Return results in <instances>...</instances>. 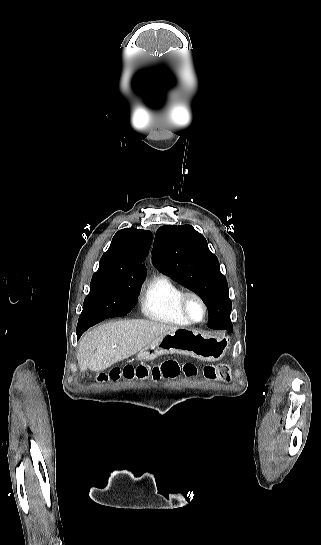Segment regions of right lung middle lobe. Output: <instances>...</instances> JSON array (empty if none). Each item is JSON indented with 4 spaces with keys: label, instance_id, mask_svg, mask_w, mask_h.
<instances>
[{
    "label": "right lung middle lobe",
    "instance_id": "obj_1",
    "mask_svg": "<svg viewBox=\"0 0 321 545\" xmlns=\"http://www.w3.org/2000/svg\"><path fill=\"white\" fill-rule=\"evenodd\" d=\"M141 284L116 282L106 274H94L90 283V292L84 300L83 311L78 322L99 319L108 302L121 295L137 296Z\"/></svg>",
    "mask_w": 321,
    "mask_h": 545
}]
</instances>
